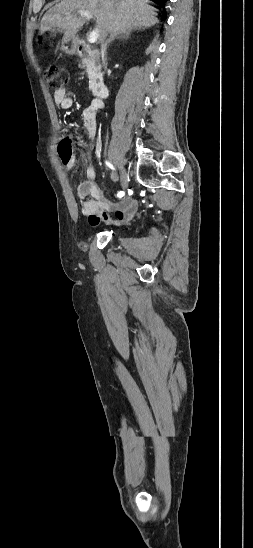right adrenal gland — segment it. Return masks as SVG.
I'll use <instances>...</instances> for the list:
<instances>
[{
	"label": "right adrenal gland",
	"mask_w": 253,
	"mask_h": 548,
	"mask_svg": "<svg viewBox=\"0 0 253 548\" xmlns=\"http://www.w3.org/2000/svg\"><path fill=\"white\" fill-rule=\"evenodd\" d=\"M131 34V31H128V30H124L122 32H119L115 35H111V37L107 40L106 44H105V47L107 49V47L109 46V44L114 41L115 39H121V40H126L129 38Z\"/></svg>",
	"instance_id": "1"
}]
</instances>
